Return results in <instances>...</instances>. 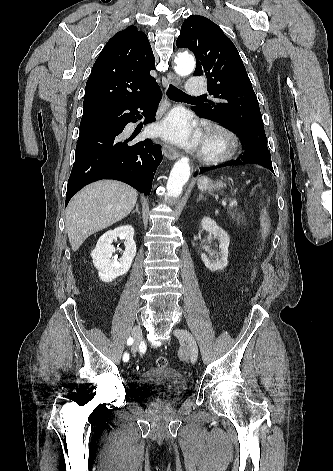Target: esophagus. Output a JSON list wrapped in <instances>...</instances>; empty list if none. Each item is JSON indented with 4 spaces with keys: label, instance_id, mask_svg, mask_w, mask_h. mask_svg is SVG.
Returning <instances> with one entry per match:
<instances>
[{
    "label": "esophagus",
    "instance_id": "obj_1",
    "mask_svg": "<svg viewBox=\"0 0 333 471\" xmlns=\"http://www.w3.org/2000/svg\"><path fill=\"white\" fill-rule=\"evenodd\" d=\"M167 80H168V83L175 86H178L180 84L179 77L173 72H169L167 74ZM163 152H164L165 157L170 160L177 159L181 156L180 152L177 149H175L174 147L168 144H165L163 146Z\"/></svg>",
    "mask_w": 333,
    "mask_h": 471
}]
</instances>
